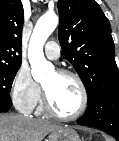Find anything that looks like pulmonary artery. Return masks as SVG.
<instances>
[{
	"instance_id": "1",
	"label": "pulmonary artery",
	"mask_w": 119,
	"mask_h": 141,
	"mask_svg": "<svg viewBox=\"0 0 119 141\" xmlns=\"http://www.w3.org/2000/svg\"><path fill=\"white\" fill-rule=\"evenodd\" d=\"M45 56L51 60H57L60 57V47L56 41L50 40L44 47Z\"/></svg>"
}]
</instances>
